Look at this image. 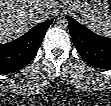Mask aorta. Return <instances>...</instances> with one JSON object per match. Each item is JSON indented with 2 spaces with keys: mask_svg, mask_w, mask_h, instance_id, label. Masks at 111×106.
Listing matches in <instances>:
<instances>
[{
  "mask_svg": "<svg viewBox=\"0 0 111 106\" xmlns=\"http://www.w3.org/2000/svg\"><path fill=\"white\" fill-rule=\"evenodd\" d=\"M56 23L61 28L68 26V20L65 17H59Z\"/></svg>",
  "mask_w": 111,
  "mask_h": 106,
  "instance_id": "1",
  "label": "aorta"
}]
</instances>
